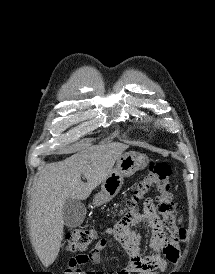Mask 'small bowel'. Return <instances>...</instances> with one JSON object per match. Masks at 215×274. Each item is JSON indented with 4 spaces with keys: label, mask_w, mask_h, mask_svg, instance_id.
I'll return each mask as SVG.
<instances>
[{
    "label": "small bowel",
    "mask_w": 215,
    "mask_h": 274,
    "mask_svg": "<svg viewBox=\"0 0 215 274\" xmlns=\"http://www.w3.org/2000/svg\"><path fill=\"white\" fill-rule=\"evenodd\" d=\"M145 224L151 233L150 252L141 253V235L137 228ZM106 236H111L125 251L128 265L116 273L107 274H159L166 270L169 263L175 264L179 258L177 244L167 240L163 226L157 217L154 202L148 198L140 211H133L120 219L114 227L106 228L89 254H80L69 260L65 274H105L83 269L88 262L95 264L101 261V252L107 245ZM68 272V273H67Z\"/></svg>",
    "instance_id": "obj_1"
}]
</instances>
